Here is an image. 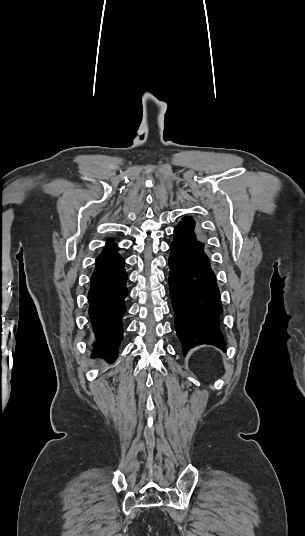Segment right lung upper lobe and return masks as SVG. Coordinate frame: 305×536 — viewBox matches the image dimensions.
<instances>
[{
  "instance_id": "obj_1",
  "label": "right lung upper lobe",
  "mask_w": 305,
  "mask_h": 536,
  "mask_svg": "<svg viewBox=\"0 0 305 536\" xmlns=\"http://www.w3.org/2000/svg\"><path fill=\"white\" fill-rule=\"evenodd\" d=\"M107 244H110V242H108ZM113 245H115V244H112V245H108L107 247H111V246H113Z\"/></svg>"
}]
</instances>
